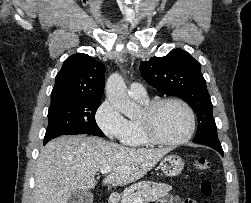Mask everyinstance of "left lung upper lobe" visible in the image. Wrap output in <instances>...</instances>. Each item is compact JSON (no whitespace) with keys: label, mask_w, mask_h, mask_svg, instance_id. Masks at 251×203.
Returning <instances> with one entry per match:
<instances>
[{"label":"left lung upper lobe","mask_w":251,"mask_h":203,"mask_svg":"<svg viewBox=\"0 0 251 203\" xmlns=\"http://www.w3.org/2000/svg\"><path fill=\"white\" fill-rule=\"evenodd\" d=\"M140 72L152 87L180 97L193 108L198 118L193 142L220 145L211 99L198 61L186 51L175 49L164 57L142 62Z\"/></svg>","instance_id":"1"}]
</instances>
